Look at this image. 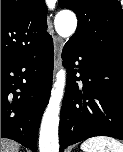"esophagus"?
Wrapping results in <instances>:
<instances>
[{"mask_svg":"<svg viewBox=\"0 0 123 152\" xmlns=\"http://www.w3.org/2000/svg\"><path fill=\"white\" fill-rule=\"evenodd\" d=\"M53 45H54V69L58 70L61 63V53L63 48L62 39L58 36L53 37Z\"/></svg>","mask_w":123,"mask_h":152,"instance_id":"1","label":"esophagus"}]
</instances>
